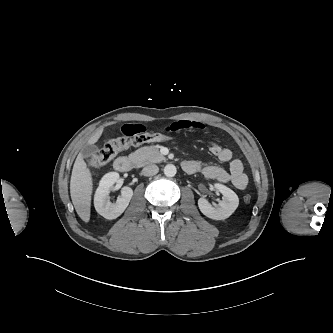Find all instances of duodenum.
Returning a JSON list of instances; mask_svg holds the SVG:
<instances>
[{
    "instance_id": "1",
    "label": "duodenum",
    "mask_w": 333,
    "mask_h": 333,
    "mask_svg": "<svg viewBox=\"0 0 333 333\" xmlns=\"http://www.w3.org/2000/svg\"><path fill=\"white\" fill-rule=\"evenodd\" d=\"M135 164V161L128 157H118L114 162V168L118 172H128L130 171Z\"/></svg>"
}]
</instances>
